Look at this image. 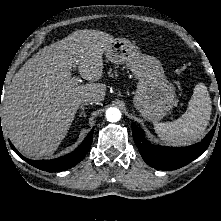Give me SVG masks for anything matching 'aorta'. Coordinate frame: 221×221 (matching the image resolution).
<instances>
[{
    "mask_svg": "<svg viewBox=\"0 0 221 221\" xmlns=\"http://www.w3.org/2000/svg\"><path fill=\"white\" fill-rule=\"evenodd\" d=\"M107 121L115 123L121 119V112L116 107H110L106 110Z\"/></svg>",
    "mask_w": 221,
    "mask_h": 221,
    "instance_id": "762f6f07",
    "label": "aorta"
}]
</instances>
